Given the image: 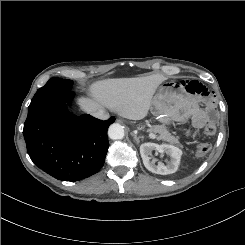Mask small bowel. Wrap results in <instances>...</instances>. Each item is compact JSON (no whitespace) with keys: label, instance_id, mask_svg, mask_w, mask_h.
Segmentation results:
<instances>
[{"label":"small bowel","instance_id":"1","mask_svg":"<svg viewBox=\"0 0 245 245\" xmlns=\"http://www.w3.org/2000/svg\"><path fill=\"white\" fill-rule=\"evenodd\" d=\"M177 85L180 89L185 90L188 95H198L204 101L209 100L212 96L211 91L198 81L188 80L187 78L182 77L178 80ZM193 107L194 113L192 123L195 127H201L209 119L210 110H203L197 106Z\"/></svg>","mask_w":245,"mask_h":245}]
</instances>
